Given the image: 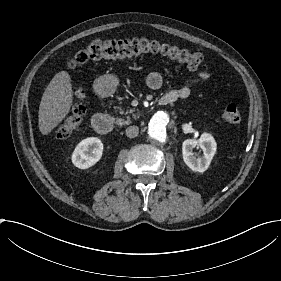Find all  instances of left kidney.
Listing matches in <instances>:
<instances>
[{
  "instance_id": "5707ae66",
  "label": "left kidney",
  "mask_w": 281,
  "mask_h": 281,
  "mask_svg": "<svg viewBox=\"0 0 281 281\" xmlns=\"http://www.w3.org/2000/svg\"><path fill=\"white\" fill-rule=\"evenodd\" d=\"M195 147L201 149L203 154L196 157L193 152ZM215 151L216 143L208 134H203L198 139L184 140L182 143L183 160L193 172H205Z\"/></svg>"
}]
</instances>
